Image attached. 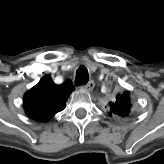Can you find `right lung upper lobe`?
<instances>
[{
	"label": "right lung upper lobe",
	"mask_w": 164,
	"mask_h": 164,
	"mask_svg": "<svg viewBox=\"0 0 164 164\" xmlns=\"http://www.w3.org/2000/svg\"><path fill=\"white\" fill-rule=\"evenodd\" d=\"M73 89L70 80L55 85L50 75H45L37 85L25 93L23 99L25 111L33 119L48 121L54 114L63 110Z\"/></svg>",
	"instance_id": "right-lung-upper-lobe-1"
}]
</instances>
